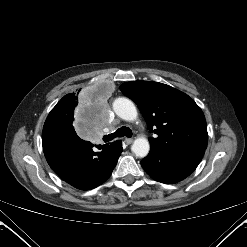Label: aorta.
<instances>
[{
    "instance_id": "obj_1",
    "label": "aorta",
    "mask_w": 247,
    "mask_h": 247,
    "mask_svg": "<svg viewBox=\"0 0 247 247\" xmlns=\"http://www.w3.org/2000/svg\"><path fill=\"white\" fill-rule=\"evenodd\" d=\"M112 107L116 115L123 120L134 121L138 116L134 103L127 98L115 99ZM131 150L137 157L144 158L150 150L149 141L145 137H139L134 140Z\"/></svg>"
}]
</instances>
